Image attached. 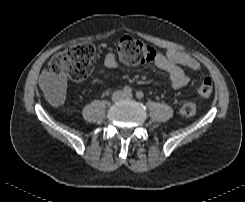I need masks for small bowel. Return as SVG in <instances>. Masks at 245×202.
<instances>
[{"label": "small bowel", "instance_id": "c3829d8e", "mask_svg": "<svg viewBox=\"0 0 245 202\" xmlns=\"http://www.w3.org/2000/svg\"><path fill=\"white\" fill-rule=\"evenodd\" d=\"M179 52L174 49H168L165 54L156 52V56L152 61L153 65L167 73L171 85L174 89L185 87L189 81L184 70L178 65L176 56ZM104 66L108 69H114L118 65V58L114 52H108L104 56ZM65 84V80L52 75L48 70L42 73L43 90L61 89Z\"/></svg>", "mask_w": 245, "mask_h": 202}]
</instances>
